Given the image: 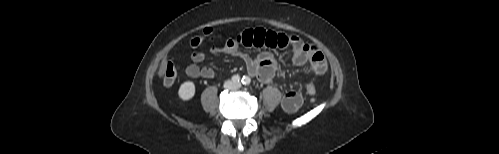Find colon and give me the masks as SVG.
Returning <instances> with one entry per match:
<instances>
[{
  "label": "colon",
  "mask_w": 499,
  "mask_h": 154,
  "mask_svg": "<svg viewBox=\"0 0 499 154\" xmlns=\"http://www.w3.org/2000/svg\"><path fill=\"white\" fill-rule=\"evenodd\" d=\"M205 34L206 35H210L211 34V30H206ZM200 41L201 40H200L199 37H195V38H193L190 41V45L195 47V46L199 45ZM159 73H160V77H161L162 83L165 86H171V85H173V83L176 80V76H177V66H176L175 61L174 60L166 61L164 64H162ZM306 92H307V94L309 95V97H310V99L312 101L316 100V97H317V87L314 84V82L309 81L307 83V85H306Z\"/></svg>",
  "instance_id": "colon-1"
}]
</instances>
